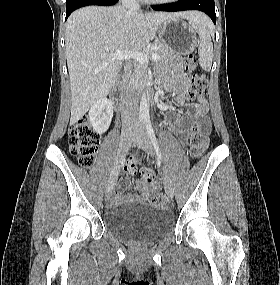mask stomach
I'll return each instance as SVG.
<instances>
[{
  "label": "stomach",
  "instance_id": "obj_1",
  "mask_svg": "<svg viewBox=\"0 0 280 285\" xmlns=\"http://www.w3.org/2000/svg\"><path fill=\"white\" fill-rule=\"evenodd\" d=\"M158 32L160 42L174 53L190 54L197 47L194 27L179 18L168 19L159 27Z\"/></svg>",
  "mask_w": 280,
  "mask_h": 285
}]
</instances>
